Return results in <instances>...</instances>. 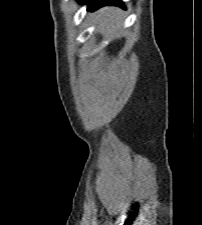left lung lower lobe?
I'll return each mask as SVG.
<instances>
[{
  "mask_svg": "<svg viewBox=\"0 0 202 225\" xmlns=\"http://www.w3.org/2000/svg\"><path fill=\"white\" fill-rule=\"evenodd\" d=\"M79 2L87 3L89 11H94L105 5L123 6V2L121 0H79Z\"/></svg>",
  "mask_w": 202,
  "mask_h": 225,
  "instance_id": "1",
  "label": "left lung lower lobe"
}]
</instances>
